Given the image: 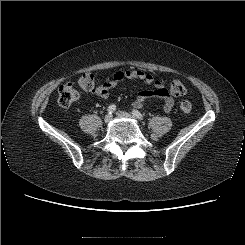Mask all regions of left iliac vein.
<instances>
[{
    "label": "left iliac vein",
    "instance_id": "1",
    "mask_svg": "<svg viewBox=\"0 0 245 245\" xmlns=\"http://www.w3.org/2000/svg\"><path fill=\"white\" fill-rule=\"evenodd\" d=\"M117 115L120 116V117L133 119V116L131 114H129L127 112H124V111L117 112Z\"/></svg>",
    "mask_w": 245,
    "mask_h": 245
}]
</instances>
